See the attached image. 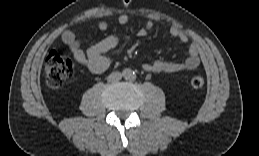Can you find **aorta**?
Segmentation results:
<instances>
[{"instance_id": "1", "label": "aorta", "mask_w": 259, "mask_h": 156, "mask_svg": "<svg viewBox=\"0 0 259 156\" xmlns=\"http://www.w3.org/2000/svg\"><path fill=\"white\" fill-rule=\"evenodd\" d=\"M123 76L125 79H133L134 78V72L131 69H125L123 71Z\"/></svg>"}]
</instances>
